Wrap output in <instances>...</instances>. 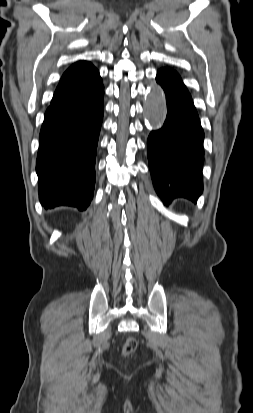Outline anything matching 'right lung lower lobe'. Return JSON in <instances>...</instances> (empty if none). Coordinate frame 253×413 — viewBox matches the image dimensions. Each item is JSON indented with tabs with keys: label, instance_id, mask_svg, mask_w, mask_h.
Here are the masks:
<instances>
[{
	"label": "right lung lower lobe",
	"instance_id": "98d812e1",
	"mask_svg": "<svg viewBox=\"0 0 253 413\" xmlns=\"http://www.w3.org/2000/svg\"><path fill=\"white\" fill-rule=\"evenodd\" d=\"M103 95L101 82L92 91L46 110L36 161L39 199L45 208L67 205L85 210L89 206Z\"/></svg>",
	"mask_w": 253,
	"mask_h": 413
}]
</instances>
